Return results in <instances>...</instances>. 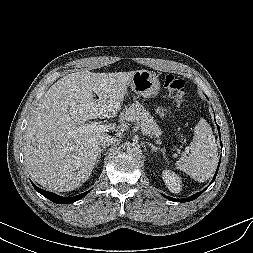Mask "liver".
<instances>
[{
	"mask_svg": "<svg viewBox=\"0 0 253 253\" xmlns=\"http://www.w3.org/2000/svg\"><path fill=\"white\" fill-rule=\"evenodd\" d=\"M134 73L80 71L64 76L48 89L24 135L26 166L38 184L66 192L88 180L98 158L100 138L116 125L95 132L84 129L85 122L116 116Z\"/></svg>",
	"mask_w": 253,
	"mask_h": 253,
	"instance_id": "liver-1",
	"label": "liver"
}]
</instances>
